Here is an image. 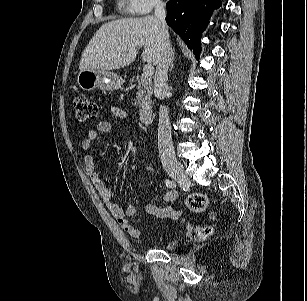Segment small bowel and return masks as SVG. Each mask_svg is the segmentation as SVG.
Returning a JSON list of instances; mask_svg holds the SVG:
<instances>
[{
	"mask_svg": "<svg viewBox=\"0 0 307 301\" xmlns=\"http://www.w3.org/2000/svg\"><path fill=\"white\" fill-rule=\"evenodd\" d=\"M111 113L117 118H129L130 114L126 110L119 107H112ZM112 131V123L110 121L102 120L97 123L96 129H91L87 132L86 137L81 141V148L85 151H89L99 134H108ZM85 171L89 176L93 186L99 193L102 200L105 202L108 210L116 219L119 226L128 234L134 238L141 236V231L135 228L129 221V218L135 217L137 214V208L133 204H127L125 207H121L118 203L113 201L111 190L104 183L99 173L96 170L94 159L91 155H86L84 158ZM146 170L151 172L152 167L146 166ZM177 198L175 191H166L162 199L166 203H173ZM145 210L148 214L158 218H171L176 219L179 217L180 212L174 206H168L166 208H160L152 202L145 204Z\"/></svg>",
	"mask_w": 307,
	"mask_h": 301,
	"instance_id": "small-bowel-1",
	"label": "small bowel"
}]
</instances>
